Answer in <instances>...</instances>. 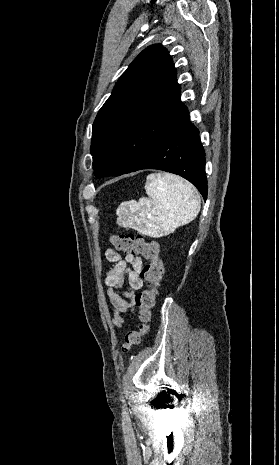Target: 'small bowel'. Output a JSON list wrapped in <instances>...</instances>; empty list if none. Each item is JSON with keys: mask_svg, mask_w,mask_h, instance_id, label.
<instances>
[{"mask_svg": "<svg viewBox=\"0 0 279 465\" xmlns=\"http://www.w3.org/2000/svg\"><path fill=\"white\" fill-rule=\"evenodd\" d=\"M105 259L113 263L104 281L107 287V298L113 309L111 321L116 326L122 327L125 320L121 313L135 308L136 292L143 287L141 276L143 262L141 257L135 254L121 255L117 250L111 248L105 251ZM125 298L130 299V301Z\"/></svg>", "mask_w": 279, "mask_h": 465, "instance_id": "c3829d8e", "label": "small bowel"}]
</instances>
